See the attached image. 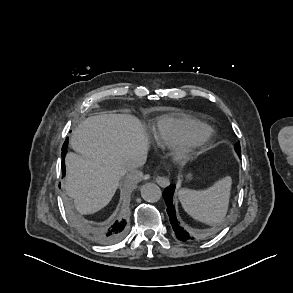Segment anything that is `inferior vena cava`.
Here are the masks:
<instances>
[{
	"instance_id": "inferior-vena-cava-1",
	"label": "inferior vena cava",
	"mask_w": 293,
	"mask_h": 293,
	"mask_svg": "<svg viewBox=\"0 0 293 293\" xmlns=\"http://www.w3.org/2000/svg\"><path fill=\"white\" fill-rule=\"evenodd\" d=\"M146 157L147 156L145 154H140L131 158L127 163L128 170L136 169L143 166L146 162Z\"/></svg>"
}]
</instances>
